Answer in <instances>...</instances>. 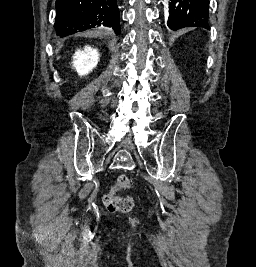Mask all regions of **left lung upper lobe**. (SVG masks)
<instances>
[{
    "mask_svg": "<svg viewBox=\"0 0 256 267\" xmlns=\"http://www.w3.org/2000/svg\"><path fill=\"white\" fill-rule=\"evenodd\" d=\"M209 0H180L179 9L175 11L185 19L188 27H203L210 29L208 24Z\"/></svg>",
    "mask_w": 256,
    "mask_h": 267,
    "instance_id": "5c2ea615",
    "label": "left lung upper lobe"
}]
</instances>
